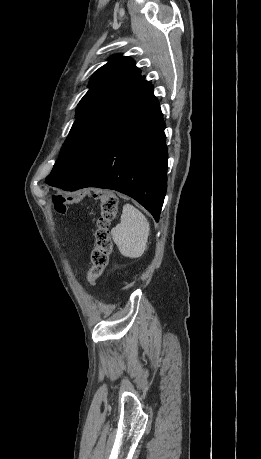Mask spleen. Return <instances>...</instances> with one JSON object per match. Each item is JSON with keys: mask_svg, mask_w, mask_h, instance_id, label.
Returning a JSON list of instances; mask_svg holds the SVG:
<instances>
[{"mask_svg": "<svg viewBox=\"0 0 261 459\" xmlns=\"http://www.w3.org/2000/svg\"><path fill=\"white\" fill-rule=\"evenodd\" d=\"M150 225L147 218L133 205L123 206L121 222L112 230L113 241L127 258L141 257L147 247Z\"/></svg>", "mask_w": 261, "mask_h": 459, "instance_id": "3e777b00", "label": "spleen"}]
</instances>
